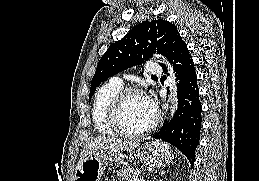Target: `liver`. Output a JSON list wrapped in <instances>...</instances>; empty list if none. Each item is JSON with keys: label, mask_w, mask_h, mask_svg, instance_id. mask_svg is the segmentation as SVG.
<instances>
[{"label": "liver", "mask_w": 259, "mask_h": 181, "mask_svg": "<svg viewBox=\"0 0 259 181\" xmlns=\"http://www.w3.org/2000/svg\"><path fill=\"white\" fill-rule=\"evenodd\" d=\"M139 141H126L115 137H105L99 136L92 139L90 142L84 146L81 157L83 158L87 153H92L96 151L104 152H129L139 146Z\"/></svg>", "instance_id": "liver-1"}]
</instances>
